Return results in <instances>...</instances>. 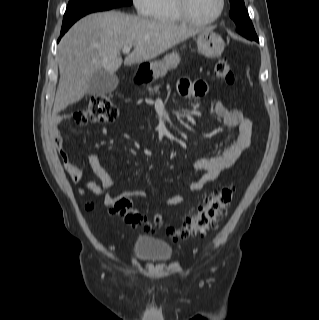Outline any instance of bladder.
I'll return each instance as SVG.
<instances>
[{
	"instance_id": "31cf9c89",
	"label": "bladder",
	"mask_w": 319,
	"mask_h": 320,
	"mask_svg": "<svg viewBox=\"0 0 319 320\" xmlns=\"http://www.w3.org/2000/svg\"><path fill=\"white\" fill-rule=\"evenodd\" d=\"M131 254L140 261L163 262L172 257L173 248L165 241L139 235L134 239Z\"/></svg>"
}]
</instances>
